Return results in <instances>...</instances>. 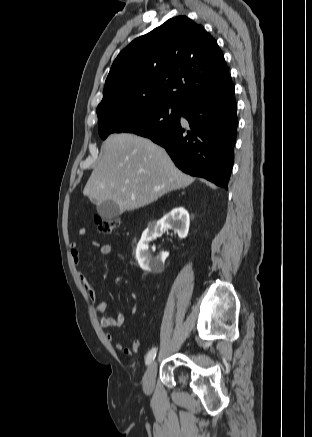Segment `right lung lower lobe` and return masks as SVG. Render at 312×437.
Instances as JSON below:
<instances>
[{
  "mask_svg": "<svg viewBox=\"0 0 312 437\" xmlns=\"http://www.w3.org/2000/svg\"><path fill=\"white\" fill-rule=\"evenodd\" d=\"M237 104L231 76L217 89L181 107L179 121L168 129L146 136L166 149L183 172L228 188L234 162Z\"/></svg>",
  "mask_w": 312,
  "mask_h": 437,
  "instance_id": "obj_1",
  "label": "right lung lower lobe"
}]
</instances>
